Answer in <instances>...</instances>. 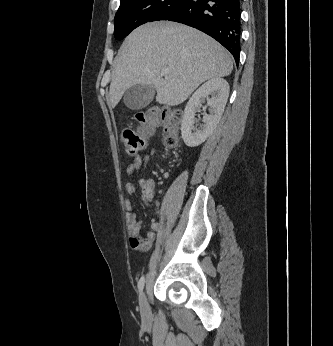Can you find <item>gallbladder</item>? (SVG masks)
<instances>
[{"mask_svg":"<svg viewBox=\"0 0 333 346\" xmlns=\"http://www.w3.org/2000/svg\"><path fill=\"white\" fill-rule=\"evenodd\" d=\"M156 89L152 85L139 84L127 89L123 101L127 108L140 110L148 106L154 99Z\"/></svg>","mask_w":333,"mask_h":346,"instance_id":"gallbladder-1","label":"gallbladder"}]
</instances>
